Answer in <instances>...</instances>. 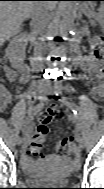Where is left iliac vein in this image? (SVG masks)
Here are the masks:
<instances>
[{
    "mask_svg": "<svg viewBox=\"0 0 104 189\" xmlns=\"http://www.w3.org/2000/svg\"><path fill=\"white\" fill-rule=\"evenodd\" d=\"M53 93H55V90L51 89L50 94H53ZM76 140H77V143H78V147L80 149L84 148L85 142H84L83 138H81L80 136H77Z\"/></svg>",
    "mask_w": 104,
    "mask_h": 189,
    "instance_id": "1",
    "label": "left iliac vein"
}]
</instances>
